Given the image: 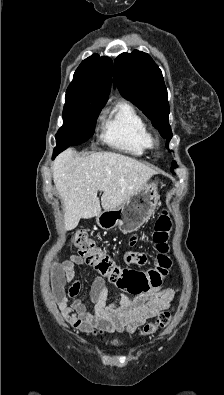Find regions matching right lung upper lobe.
I'll return each mask as SVG.
<instances>
[{"label":"right lung upper lobe","instance_id":"cb5924a9","mask_svg":"<svg viewBox=\"0 0 224 395\" xmlns=\"http://www.w3.org/2000/svg\"><path fill=\"white\" fill-rule=\"evenodd\" d=\"M112 77V60L94 54L86 58L74 73L67 93L79 94L106 103Z\"/></svg>","mask_w":224,"mask_h":395}]
</instances>
